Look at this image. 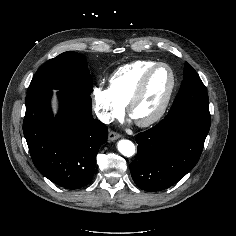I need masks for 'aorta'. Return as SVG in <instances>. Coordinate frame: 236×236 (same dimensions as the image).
<instances>
[{
  "mask_svg": "<svg viewBox=\"0 0 236 236\" xmlns=\"http://www.w3.org/2000/svg\"><path fill=\"white\" fill-rule=\"evenodd\" d=\"M117 148L118 151L126 157H132L135 154V145L130 140H120Z\"/></svg>",
  "mask_w": 236,
  "mask_h": 236,
  "instance_id": "aorta-1",
  "label": "aorta"
}]
</instances>
